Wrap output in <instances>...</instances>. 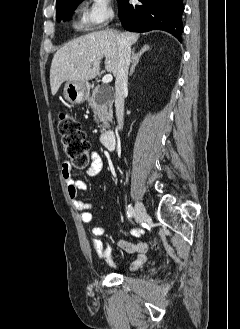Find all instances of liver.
Instances as JSON below:
<instances>
[{"instance_id": "liver-1", "label": "liver", "mask_w": 240, "mask_h": 329, "mask_svg": "<svg viewBox=\"0 0 240 329\" xmlns=\"http://www.w3.org/2000/svg\"><path fill=\"white\" fill-rule=\"evenodd\" d=\"M130 45L135 44L139 34L123 33ZM117 33L102 30L81 36L63 47L53 56L50 68V86L55 95L64 81L88 82L100 71L105 58V69L116 75L118 68Z\"/></svg>"}]
</instances>
